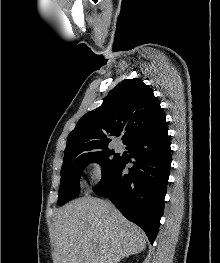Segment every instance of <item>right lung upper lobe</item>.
Listing matches in <instances>:
<instances>
[{
	"mask_svg": "<svg viewBox=\"0 0 220 263\" xmlns=\"http://www.w3.org/2000/svg\"><path fill=\"white\" fill-rule=\"evenodd\" d=\"M167 131L165 113L153 90L141 79H126L113 88L102 105L86 113L69 134L65 154L108 148L120 136L126 145L141 135Z\"/></svg>",
	"mask_w": 220,
	"mask_h": 263,
	"instance_id": "cb5924a9",
	"label": "right lung upper lobe"
}]
</instances>
